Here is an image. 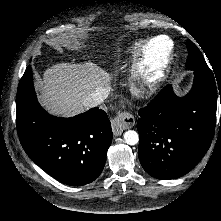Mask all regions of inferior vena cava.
Segmentation results:
<instances>
[{
	"label": "inferior vena cava",
	"instance_id": "1",
	"mask_svg": "<svg viewBox=\"0 0 221 221\" xmlns=\"http://www.w3.org/2000/svg\"><path fill=\"white\" fill-rule=\"evenodd\" d=\"M110 89L106 87H97L84 100L85 107H95L100 105L109 95Z\"/></svg>",
	"mask_w": 221,
	"mask_h": 221
}]
</instances>
